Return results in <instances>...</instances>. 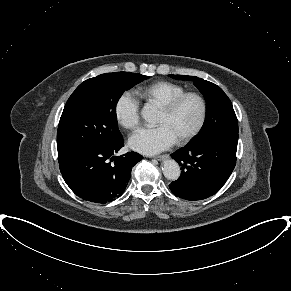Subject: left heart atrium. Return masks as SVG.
Wrapping results in <instances>:
<instances>
[{"label":"left heart atrium","mask_w":291,"mask_h":291,"mask_svg":"<svg viewBox=\"0 0 291 291\" xmlns=\"http://www.w3.org/2000/svg\"><path fill=\"white\" fill-rule=\"evenodd\" d=\"M176 138L165 125L155 128H144L133 135L129 145L144 154H155L166 150L176 143Z\"/></svg>","instance_id":"39dd6f15"}]
</instances>
